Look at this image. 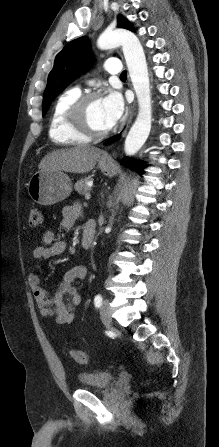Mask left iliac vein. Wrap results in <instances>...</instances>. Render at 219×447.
<instances>
[{"mask_svg": "<svg viewBox=\"0 0 219 447\" xmlns=\"http://www.w3.org/2000/svg\"><path fill=\"white\" fill-rule=\"evenodd\" d=\"M100 317L105 325H110L112 323L111 308L108 301H103L100 308Z\"/></svg>", "mask_w": 219, "mask_h": 447, "instance_id": "obj_1", "label": "left iliac vein"}]
</instances>
